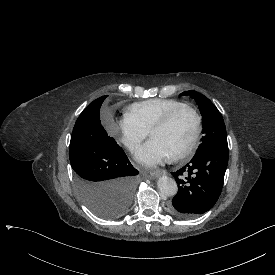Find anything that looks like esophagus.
<instances>
[{
    "mask_svg": "<svg viewBox=\"0 0 275 275\" xmlns=\"http://www.w3.org/2000/svg\"><path fill=\"white\" fill-rule=\"evenodd\" d=\"M165 173H166V172H165L164 169H157V170L151 172V175H152V176H155V177H159V176H161V175H164Z\"/></svg>",
    "mask_w": 275,
    "mask_h": 275,
    "instance_id": "obj_1",
    "label": "esophagus"
}]
</instances>
